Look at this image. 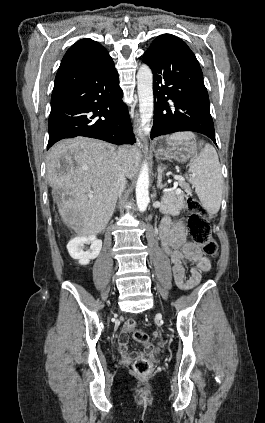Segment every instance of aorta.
<instances>
[{"instance_id":"obj_1","label":"aorta","mask_w":265,"mask_h":423,"mask_svg":"<svg viewBox=\"0 0 265 423\" xmlns=\"http://www.w3.org/2000/svg\"><path fill=\"white\" fill-rule=\"evenodd\" d=\"M137 90L139 98V112L141 126L148 135L151 130L150 122L153 117V74L150 67L142 64L137 73ZM149 168L146 162L142 164L136 183V203L140 212L147 209L149 203Z\"/></svg>"}]
</instances>
